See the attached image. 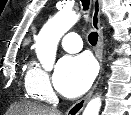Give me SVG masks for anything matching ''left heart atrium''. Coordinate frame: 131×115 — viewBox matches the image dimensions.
Instances as JSON below:
<instances>
[{
  "mask_svg": "<svg viewBox=\"0 0 131 115\" xmlns=\"http://www.w3.org/2000/svg\"><path fill=\"white\" fill-rule=\"evenodd\" d=\"M95 74V64L88 56H65L57 65L54 84L64 96L77 97L90 87Z\"/></svg>",
  "mask_w": 131,
  "mask_h": 115,
  "instance_id": "39dd6f15",
  "label": "left heart atrium"
}]
</instances>
